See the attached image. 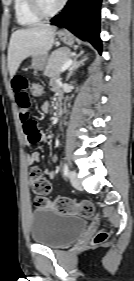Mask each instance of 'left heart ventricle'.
I'll return each mask as SVG.
<instances>
[{"label": "left heart ventricle", "mask_w": 134, "mask_h": 281, "mask_svg": "<svg viewBox=\"0 0 134 281\" xmlns=\"http://www.w3.org/2000/svg\"><path fill=\"white\" fill-rule=\"evenodd\" d=\"M61 0H42L45 8L51 10L55 8Z\"/></svg>", "instance_id": "b2bd125f"}]
</instances>
